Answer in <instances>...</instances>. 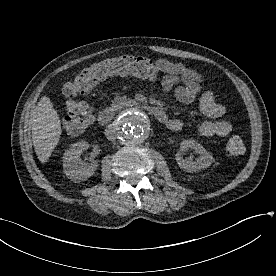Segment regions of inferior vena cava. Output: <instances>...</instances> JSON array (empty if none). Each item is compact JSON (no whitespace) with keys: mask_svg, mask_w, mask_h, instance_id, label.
<instances>
[{"mask_svg":"<svg viewBox=\"0 0 276 276\" xmlns=\"http://www.w3.org/2000/svg\"><path fill=\"white\" fill-rule=\"evenodd\" d=\"M115 124H110L108 127L105 129V135L108 140L114 141L117 138V130H116Z\"/></svg>","mask_w":276,"mask_h":276,"instance_id":"obj_1","label":"inferior vena cava"}]
</instances>
